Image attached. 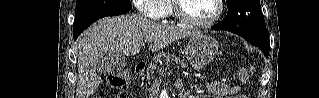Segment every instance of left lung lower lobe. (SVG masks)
Returning a JSON list of instances; mask_svg holds the SVG:
<instances>
[{"label":"left lung lower lobe","instance_id":"left-lung-lower-lobe-1","mask_svg":"<svg viewBox=\"0 0 319 98\" xmlns=\"http://www.w3.org/2000/svg\"><path fill=\"white\" fill-rule=\"evenodd\" d=\"M211 29L222 30L221 27H219L217 25L212 26ZM243 38H245L248 42L256 45L259 49H261L264 52L265 56L268 57L269 48H270L269 40L254 39V38H247V37H243Z\"/></svg>","mask_w":319,"mask_h":98}]
</instances>
